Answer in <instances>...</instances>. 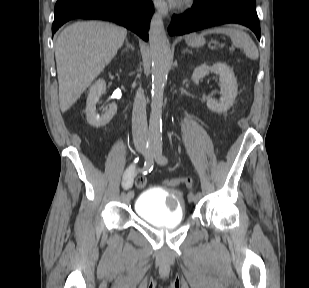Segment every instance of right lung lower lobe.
<instances>
[{
    "instance_id": "1",
    "label": "right lung lower lobe",
    "mask_w": 309,
    "mask_h": 288,
    "mask_svg": "<svg viewBox=\"0 0 309 288\" xmlns=\"http://www.w3.org/2000/svg\"><path fill=\"white\" fill-rule=\"evenodd\" d=\"M153 14L151 0H60L55 8L52 33L75 18L114 21L148 40V25Z\"/></svg>"
}]
</instances>
